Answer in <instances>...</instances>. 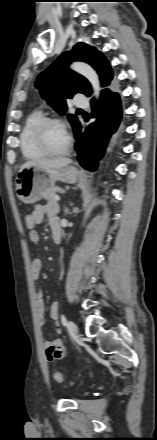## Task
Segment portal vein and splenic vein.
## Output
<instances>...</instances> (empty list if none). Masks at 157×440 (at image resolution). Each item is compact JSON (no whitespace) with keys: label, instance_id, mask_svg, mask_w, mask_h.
<instances>
[{"label":"portal vein and splenic vein","instance_id":"18ae733b","mask_svg":"<svg viewBox=\"0 0 157 440\" xmlns=\"http://www.w3.org/2000/svg\"><path fill=\"white\" fill-rule=\"evenodd\" d=\"M54 199H55V201H59L60 197L58 195H56Z\"/></svg>","mask_w":157,"mask_h":440}]
</instances>
